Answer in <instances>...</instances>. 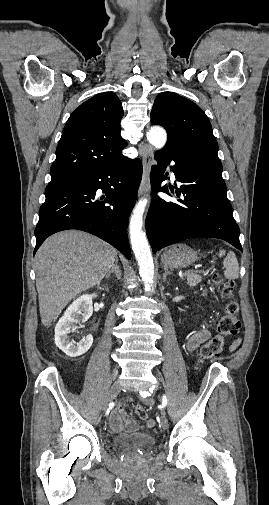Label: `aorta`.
<instances>
[{"label":"aorta","mask_w":269,"mask_h":505,"mask_svg":"<svg viewBox=\"0 0 269 505\" xmlns=\"http://www.w3.org/2000/svg\"><path fill=\"white\" fill-rule=\"evenodd\" d=\"M147 138L149 143L155 149H161L166 144L167 133L162 127L153 126L150 129ZM147 203L148 201L145 198L139 200L132 211L129 225L132 250L139 266V274L145 284L153 282L154 278L153 258L148 240L142 230L143 215Z\"/></svg>","instance_id":"aorta-1"}]
</instances>
